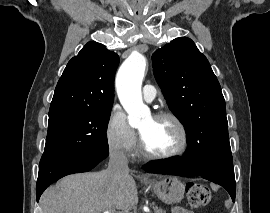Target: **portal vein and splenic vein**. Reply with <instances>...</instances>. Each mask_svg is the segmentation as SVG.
<instances>
[{
	"instance_id": "18ae733b",
	"label": "portal vein and splenic vein",
	"mask_w": 270,
	"mask_h": 213,
	"mask_svg": "<svg viewBox=\"0 0 270 213\" xmlns=\"http://www.w3.org/2000/svg\"><path fill=\"white\" fill-rule=\"evenodd\" d=\"M103 213H123V212L115 211V210H106Z\"/></svg>"
}]
</instances>
